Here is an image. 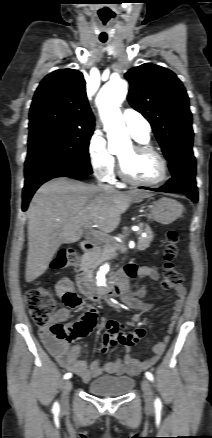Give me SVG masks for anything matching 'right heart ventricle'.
Returning <instances> with one entry per match:
<instances>
[{"label":"right heart ventricle","mask_w":212,"mask_h":438,"mask_svg":"<svg viewBox=\"0 0 212 438\" xmlns=\"http://www.w3.org/2000/svg\"><path fill=\"white\" fill-rule=\"evenodd\" d=\"M138 141H140L142 143H146L148 140H138Z\"/></svg>","instance_id":"1"}]
</instances>
